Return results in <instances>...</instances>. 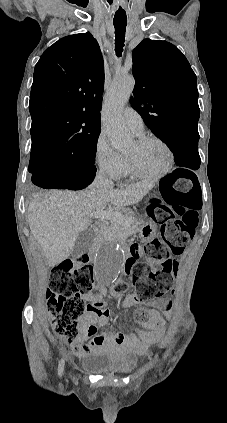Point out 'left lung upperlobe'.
Returning <instances> with one entry per match:
<instances>
[{"label": "left lung upper lobe", "mask_w": 227, "mask_h": 423, "mask_svg": "<svg viewBox=\"0 0 227 423\" xmlns=\"http://www.w3.org/2000/svg\"><path fill=\"white\" fill-rule=\"evenodd\" d=\"M136 81L132 107L163 141L198 133L196 75L182 52L162 40L144 39L132 53Z\"/></svg>", "instance_id": "1"}]
</instances>
